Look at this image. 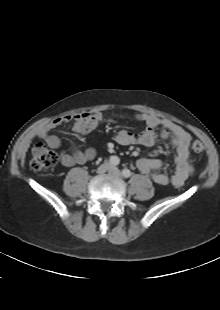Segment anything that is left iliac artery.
<instances>
[{
  "label": "left iliac artery",
  "mask_w": 220,
  "mask_h": 310,
  "mask_svg": "<svg viewBox=\"0 0 220 310\" xmlns=\"http://www.w3.org/2000/svg\"><path fill=\"white\" fill-rule=\"evenodd\" d=\"M131 174H132L131 171L128 170V169H123V170H122V175H123L125 178L130 177Z\"/></svg>",
  "instance_id": "obj_1"
}]
</instances>
